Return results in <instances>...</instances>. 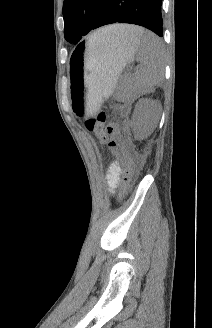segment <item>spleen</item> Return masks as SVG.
Instances as JSON below:
<instances>
[{"instance_id": "spleen-1", "label": "spleen", "mask_w": 212, "mask_h": 328, "mask_svg": "<svg viewBox=\"0 0 212 328\" xmlns=\"http://www.w3.org/2000/svg\"><path fill=\"white\" fill-rule=\"evenodd\" d=\"M132 39L138 41L137 61L140 67L133 76V82L140 94L150 93L161 84L164 74V49L160 39L152 32L138 28ZM92 45L99 44L96 33L89 37Z\"/></svg>"}]
</instances>
